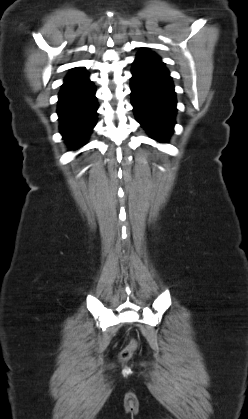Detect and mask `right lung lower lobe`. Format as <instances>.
Listing matches in <instances>:
<instances>
[{"label":"right lung lower lobe","instance_id":"98d812e1","mask_svg":"<svg viewBox=\"0 0 248 419\" xmlns=\"http://www.w3.org/2000/svg\"><path fill=\"white\" fill-rule=\"evenodd\" d=\"M95 87L82 68L65 78L59 94L60 132L71 149L83 146L96 124L98 104Z\"/></svg>","mask_w":248,"mask_h":419}]
</instances>
